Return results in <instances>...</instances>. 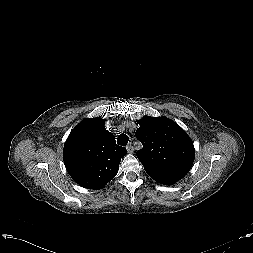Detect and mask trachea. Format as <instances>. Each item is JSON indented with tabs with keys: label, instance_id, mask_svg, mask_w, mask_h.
I'll return each instance as SVG.
<instances>
[{
	"label": "trachea",
	"instance_id": "trachea-1",
	"mask_svg": "<svg viewBox=\"0 0 253 253\" xmlns=\"http://www.w3.org/2000/svg\"><path fill=\"white\" fill-rule=\"evenodd\" d=\"M129 141V138L126 134H120L117 138V143L121 146H126Z\"/></svg>",
	"mask_w": 253,
	"mask_h": 253
}]
</instances>
